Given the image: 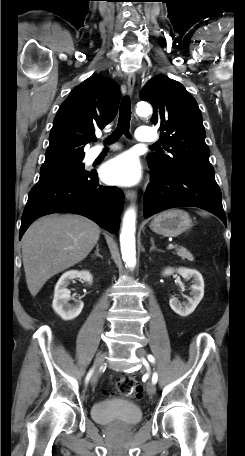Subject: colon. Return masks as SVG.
I'll return each instance as SVG.
<instances>
[{
    "instance_id": "colon-1",
    "label": "colon",
    "mask_w": 245,
    "mask_h": 456,
    "mask_svg": "<svg viewBox=\"0 0 245 456\" xmlns=\"http://www.w3.org/2000/svg\"><path fill=\"white\" fill-rule=\"evenodd\" d=\"M117 391L125 396L140 399L143 395V387L137 383L131 375L124 374L116 380Z\"/></svg>"
}]
</instances>
